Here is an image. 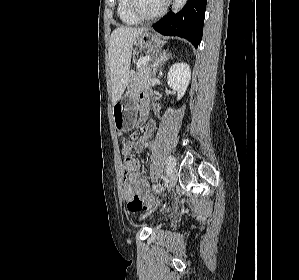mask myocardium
Masks as SVG:
<instances>
[{
    "label": "myocardium",
    "mask_w": 299,
    "mask_h": 280,
    "mask_svg": "<svg viewBox=\"0 0 299 280\" xmlns=\"http://www.w3.org/2000/svg\"><path fill=\"white\" fill-rule=\"evenodd\" d=\"M128 2L129 10L136 19L139 21H153L164 15L169 6L170 0H165L161 9L152 15H145L140 11L138 7V0H128Z\"/></svg>",
    "instance_id": "f54148a6"
}]
</instances>
